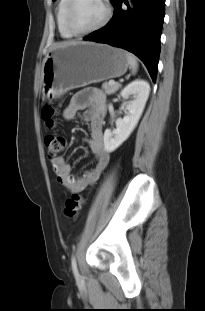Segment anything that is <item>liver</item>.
<instances>
[{
    "label": "liver",
    "mask_w": 205,
    "mask_h": 311,
    "mask_svg": "<svg viewBox=\"0 0 205 311\" xmlns=\"http://www.w3.org/2000/svg\"><path fill=\"white\" fill-rule=\"evenodd\" d=\"M71 43H77V42H65V43H62V44H58L55 47L60 46V45H64V44H71Z\"/></svg>",
    "instance_id": "1"
}]
</instances>
